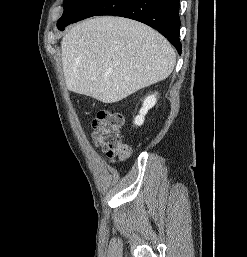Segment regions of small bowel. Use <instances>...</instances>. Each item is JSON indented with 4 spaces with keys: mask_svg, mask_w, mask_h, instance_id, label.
<instances>
[{
    "mask_svg": "<svg viewBox=\"0 0 247 257\" xmlns=\"http://www.w3.org/2000/svg\"><path fill=\"white\" fill-rule=\"evenodd\" d=\"M110 162H115V159H113V158H110Z\"/></svg>",
    "mask_w": 247,
    "mask_h": 257,
    "instance_id": "1",
    "label": "small bowel"
}]
</instances>
